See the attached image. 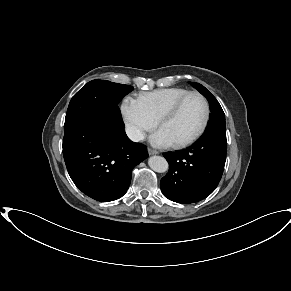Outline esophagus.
<instances>
[{
  "label": "esophagus",
  "mask_w": 291,
  "mask_h": 291,
  "mask_svg": "<svg viewBox=\"0 0 291 291\" xmlns=\"http://www.w3.org/2000/svg\"><path fill=\"white\" fill-rule=\"evenodd\" d=\"M148 153L149 155H156V154H159V152L157 150H154L152 148H148Z\"/></svg>",
  "instance_id": "esophagus-1"
}]
</instances>
